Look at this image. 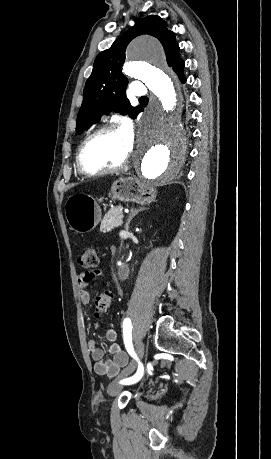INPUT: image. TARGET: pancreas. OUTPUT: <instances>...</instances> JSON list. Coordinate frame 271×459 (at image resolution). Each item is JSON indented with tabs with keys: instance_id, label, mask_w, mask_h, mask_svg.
I'll return each mask as SVG.
<instances>
[{
	"instance_id": "obj_1",
	"label": "pancreas",
	"mask_w": 271,
	"mask_h": 459,
	"mask_svg": "<svg viewBox=\"0 0 271 459\" xmlns=\"http://www.w3.org/2000/svg\"><path fill=\"white\" fill-rule=\"evenodd\" d=\"M122 210V206H118V208H111L101 222V231H111V229L121 226L122 219H120L118 215L123 214Z\"/></svg>"
}]
</instances>
